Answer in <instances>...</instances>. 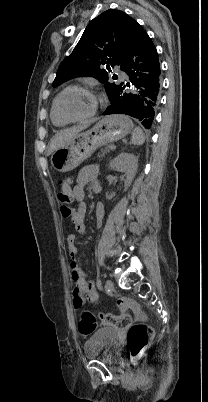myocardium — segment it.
I'll return each mask as SVG.
<instances>
[{
	"mask_svg": "<svg viewBox=\"0 0 208 402\" xmlns=\"http://www.w3.org/2000/svg\"><path fill=\"white\" fill-rule=\"evenodd\" d=\"M72 89H80V90H83V91L92 92V93H94L96 95V97H97L96 103H95L93 109L89 113H87L86 115H83V116H80V117H69L61 110V108L59 106V100H60L61 96L63 94H65L67 91L72 90ZM54 103H55V108H56L57 113L59 114V116L64 121H67V122H70V123L71 122H80V121H86V120L90 119L91 117H93L97 113L98 109L104 103V97L97 90H94L91 87L83 86V85H70V86L65 87L56 96V98L54 100Z\"/></svg>",
	"mask_w": 208,
	"mask_h": 402,
	"instance_id": "f54148a6",
	"label": "myocardium"
}]
</instances>
